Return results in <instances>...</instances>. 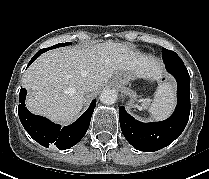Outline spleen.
Listing matches in <instances>:
<instances>
[{
    "instance_id": "obj_1",
    "label": "spleen",
    "mask_w": 209,
    "mask_h": 179,
    "mask_svg": "<svg viewBox=\"0 0 209 179\" xmlns=\"http://www.w3.org/2000/svg\"><path fill=\"white\" fill-rule=\"evenodd\" d=\"M174 86L170 82L158 86L153 101L149 106V112L156 120L166 119L174 109Z\"/></svg>"
}]
</instances>
